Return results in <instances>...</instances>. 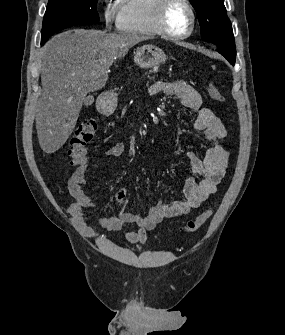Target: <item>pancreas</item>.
<instances>
[{
    "mask_svg": "<svg viewBox=\"0 0 285 335\" xmlns=\"http://www.w3.org/2000/svg\"><path fill=\"white\" fill-rule=\"evenodd\" d=\"M154 72H157V68L154 70ZM138 76H141V73H138ZM127 85H130V82H127Z\"/></svg>",
    "mask_w": 285,
    "mask_h": 335,
    "instance_id": "cf45deb5",
    "label": "pancreas"
}]
</instances>
